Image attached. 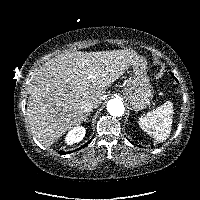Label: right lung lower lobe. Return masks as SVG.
Here are the masks:
<instances>
[{"mask_svg":"<svg viewBox=\"0 0 200 200\" xmlns=\"http://www.w3.org/2000/svg\"><path fill=\"white\" fill-rule=\"evenodd\" d=\"M90 142V141H89ZM89 142L88 143H86L84 146H87L88 144H89ZM67 152H63V151H60V154H66Z\"/></svg>","mask_w":200,"mask_h":200,"instance_id":"obj_1","label":"right lung lower lobe"}]
</instances>
